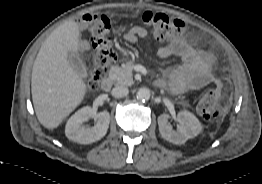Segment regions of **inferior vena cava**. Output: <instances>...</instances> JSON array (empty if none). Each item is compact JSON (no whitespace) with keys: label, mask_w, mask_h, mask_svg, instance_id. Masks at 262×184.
I'll return each instance as SVG.
<instances>
[{"label":"inferior vena cava","mask_w":262,"mask_h":184,"mask_svg":"<svg viewBox=\"0 0 262 184\" xmlns=\"http://www.w3.org/2000/svg\"><path fill=\"white\" fill-rule=\"evenodd\" d=\"M129 93V90L127 87L124 86H117L114 87L111 91L112 96L116 97V98H121V97H125L127 96Z\"/></svg>","instance_id":"1"}]
</instances>
